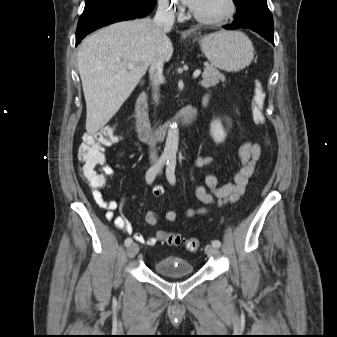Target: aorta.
I'll return each mask as SVG.
<instances>
[{"mask_svg": "<svg viewBox=\"0 0 337 337\" xmlns=\"http://www.w3.org/2000/svg\"><path fill=\"white\" fill-rule=\"evenodd\" d=\"M179 143V130L176 122H172L169 125V130L167 133L164 155L166 157H175L178 149Z\"/></svg>", "mask_w": 337, "mask_h": 337, "instance_id": "762f6f07", "label": "aorta"}]
</instances>
